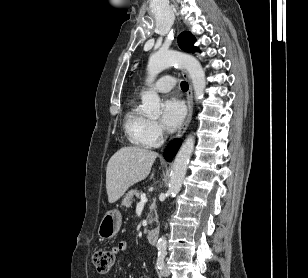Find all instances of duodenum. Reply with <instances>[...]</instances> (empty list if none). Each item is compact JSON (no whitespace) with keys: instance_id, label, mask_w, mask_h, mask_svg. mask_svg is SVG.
Segmentation results:
<instances>
[{"instance_id":"obj_1","label":"duodenum","mask_w":308,"mask_h":278,"mask_svg":"<svg viewBox=\"0 0 308 278\" xmlns=\"http://www.w3.org/2000/svg\"><path fill=\"white\" fill-rule=\"evenodd\" d=\"M159 237V230L157 228H153L148 232L147 239L150 244H155Z\"/></svg>"}]
</instances>
